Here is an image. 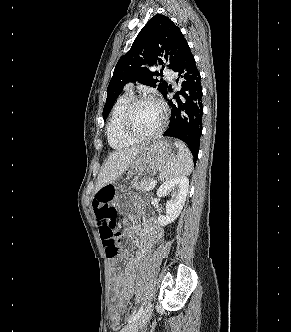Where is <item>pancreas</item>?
<instances>
[{
    "label": "pancreas",
    "instance_id": "1",
    "mask_svg": "<svg viewBox=\"0 0 291 332\" xmlns=\"http://www.w3.org/2000/svg\"><path fill=\"white\" fill-rule=\"evenodd\" d=\"M151 181H152L151 178L144 179V180H141V181H136V182H134V184L132 185V187L135 190L140 191L142 193L143 192H147L149 184H150Z\"/></svg>",
    "mask_w": 291,
    "mask_h": 332
}]
</instances>
